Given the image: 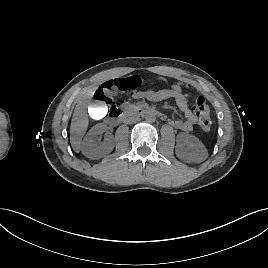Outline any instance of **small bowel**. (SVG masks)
I'll return each mask as SVG.
<instances>
[{
  "label": "small bowel",
  "instance_id": "c3829d8e",
  "mask_svg": "<svg viewBox=\"0 0 268 268\" xmlns=\"http://www.w3.org/2000/svg\"><path fill=\"white\" fill-rule=\"evenodd\" d=\"M133 98H144L152 102L174 99L180 111L184 114L183 119H170L169 124L181 131H191L198 120V116L190 106L188 94L179 86L171 85L159 90H147L134 93Z\"/></svg>",
  "mask_w": 268,
  "mask_h": 268
}]
</instances>
